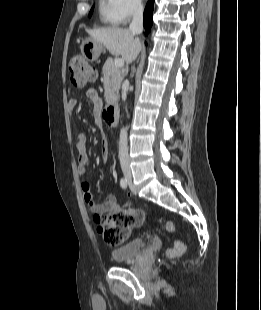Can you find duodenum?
<instances>
[{
    "instance_id": "obj_1",
    "label": "duodenum",
    "mask_w": 261,
    "mask_h": 310,
    "mask_svg": "<svg viewBox=\"0 0 261 310\" xmlns=\"http://www.w3.org/2000/svg\"><path fill=\"white\" fill-rule=\"evenodd\" d=\"M118 107L114 104L109 105L103 112V119L109 126H114L117 122Z\"/></svg>"
}]
</instances>
